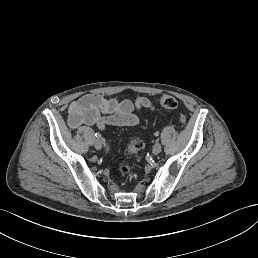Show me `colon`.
<instances>
[{"label":"colon","instance_id":"obj_1","mask_svg":"<svg viewBox=\"0 0 258 258\" xmlns=\"http://www.w3.org/2000/svg\"><path fill=\"white\" fill-rule=\"evenodd\" d=\"M159 107L162 111H170L177 107V101L171 95H162L159 99ZM180 121L185 122V118L182 116ZM142 147V142L139 139H133L129 144L128 150L131 153H136ZM121 172L127 176H133L136 173V168L132 165H124L121 167Z\"/></svg>","mask_w":258,"mask_h":258}]
</instances>
